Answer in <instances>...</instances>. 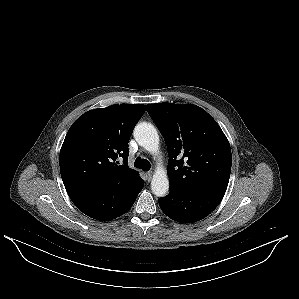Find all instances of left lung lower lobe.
<instances>
[{
  "label": "left lung lower lobe",
  "instance_id": "0a47b994",
  "mask_svg": "<svg viewBox=\"0 0 299 299\" xmlns=\"http://www.w3.org/2000/svg\"><path fill=\"white\" fill-rule=\"evenodd\" d=\"M224 193L206 189H170L159 206L171 219L192 223L208 216L221 202Z\"/></svg>",
  "mask_w": 299,
  "mask_h": 299
}]
</instances>
